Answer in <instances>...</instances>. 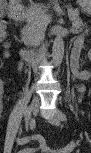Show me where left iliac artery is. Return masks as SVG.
Instances as JSON below:
<instances>
[{
  "label": "left iliac artery",
  "mask_w": 91,
  "mask_h": 153,
  "mask_svg": "<svg viewBox=\"0 0 91 153\" xmlns=\"http://www.w3.org/2000/svg\"><path fill=\"white\" fill-rule=\"evenodd\" d=\"M59 117H60V119H61L62 121H66V120H67L66 115H65L63 112H61V111H59Z\"/></svg>",
  "instance_id": "1"
}]
</instances>
